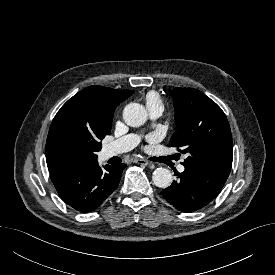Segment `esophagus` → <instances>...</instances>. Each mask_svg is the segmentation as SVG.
<instances>
[{
	"instance_id": "esophagus-1",
	"label": "esophagus",
	"mask_w": 275,
	"mask_h": 275,
	"mask_svg": "<svg viewBox=\"0 0 275 275\" xmlns=\"http://www.w3.org/2000/svg\"><path fill=\"white\" fill-rule=\"evenodd\" d=\"M136 162L141 165H149L150 164V161H148L146 159H137Z\"/></svg>"
}]
</instances>
